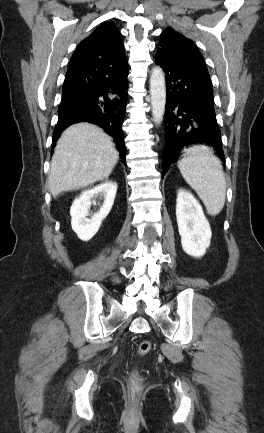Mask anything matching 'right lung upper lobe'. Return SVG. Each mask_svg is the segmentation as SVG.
Listing matches in <instances>:
<instances>
[{
  "mask_svg": "<svg viewBox=\"0 0 264 433\" xmlns=\"http://www.w3.org/2000/svg\"><path fill=\"white\" fill-rule=\"evenodd\" d=\"M126 61L119 30L111 22H104L79 44L70 67L96 63L119 65Z\"/></svg>",
  "mask_w": 264,
  "mask_h": 433,
  "instance_id": "obj_1",
  "label": "right lung upper lobe"
}]
</instances>
